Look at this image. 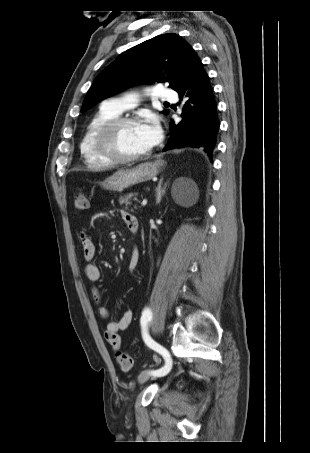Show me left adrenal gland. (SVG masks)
I'll use <instances>...</instances> for the list:
<instances>
[{
  "label": "left adrenal gland",
  "mask_w": 310,
  "mask_h": 453,
  "mask_svg": "<svg viewBox=\"0 0 310 453\" xmlns=\"http://www.w3.org/2000/svg\"><path fill=\"white\" fill-rule=\"evenodd\" d=\"M162 182H163V177H161V179H160V181L158 183V186L155 189V192H156V204L160 203V201L162 199V196L165 194V189H166L167 184H165V186L162 188Z\"/></svg>",
  "instance_id": "obj_1"
}]
</instances>
